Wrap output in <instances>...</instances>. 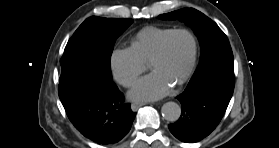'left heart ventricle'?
Segmentation results:
<instances>
[{"label": "left heart ventricle", "mask_w": 279, "mask_h": 148, "mask_svg": "<svg viewBox=\"0 0 279 148\" xmlns=\"http://www.w3.org/2000/svg\"><path fill=\"white\" fill-rule=\"evenodd\" d=\"M193 56V41L185 33L171 37L164 56L152 63L149 68L172 83L177 82L187 71Z\"/></svg>", "instance_id": "left-heart-ventricle-1"}]
</instances>
